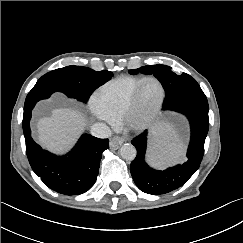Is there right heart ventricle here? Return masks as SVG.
I'll return each mask as SVG.
<instances>
[{
  "mask_svg": "<svg viewBox=\"0 0 243 243\" xmlns=\"http://www.w3.org/2000/svg\"><path fill=\"white\" fill-rule=\"evenodd\" d=\"M142 76L123 75L105 83L94 94L95 105L113 120H120L122 110L134 91L145 79Z\"/></svg>",
  "mask_w": 243,
  "mask_h": 243,
  "instance_id": "right-heart-ventricle-1",
  "label": "right heart ventricle"
}]
</instances>
